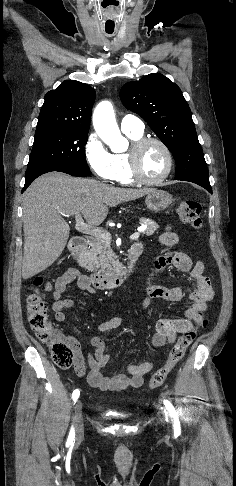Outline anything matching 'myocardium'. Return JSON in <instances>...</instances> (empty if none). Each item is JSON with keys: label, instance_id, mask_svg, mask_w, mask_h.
Returning <instances> with one entry per match:
<instances>
[{"label": "myocardium", "instance_id": "1", "mask_svg": "<svg viewBox=\"0 0 236 486\" xmlns=\"http://www.w3.org/2000/svg\"><path fill=\"white\" fill-rule=\"evenodd\" d=\"M149 144H157L160 146L167 160L165 172L157 179L145 178L140 169V154L142 150ZM127 158L131 177L136 183L143 185L155 186L163 183L170 176L174 166V159L170 148L158 138L145 137L134 141L129 152L127 153Z\"/></svg>", "mask_w": 236, "mask_h": 486}]
</instances>
